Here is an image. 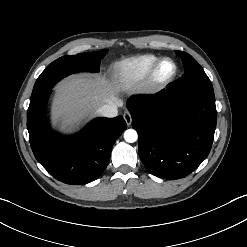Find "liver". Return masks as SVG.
Instances as JSON below:
<instances>
[{"label": "liver", "instance_id": "obj_1", "mask_svg": "<svg viewBox=\"0 0 247 247\" xmlns=\"http://www.w3.org/2000/svg\"><path fill=\"white\" fill-rule=\"evenodd\" d=\"M118 84L105 77L80 75L70 77L56 87L52 106L54 124L62 121V128L73 126L109 101L116 100Z\"/></svg>", "mask_w": 247, "mask_h": 247}]
</instances>
